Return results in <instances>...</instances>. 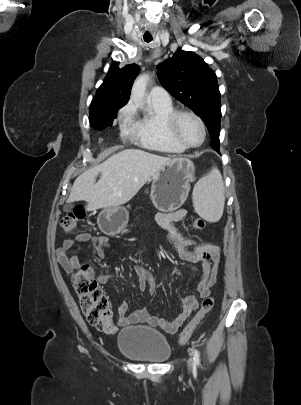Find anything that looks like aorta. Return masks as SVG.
<instances>
[{"label":"aorta","mask_w":301,"mask_h":405,"mask_svg":"<svg viewBox=\"0 0 301 405\" xmlns=\"http://www.w3.org/2000/svg\"><path fill=\"white\" fill-rule=\"evenodd\" d=\"M149 78L150 77L148 74L140 75L135 80L131 90L132 100L140 107H143L144 105V96Z\"/></svg>","instance_id":"aorta-1"}]
</instances>
